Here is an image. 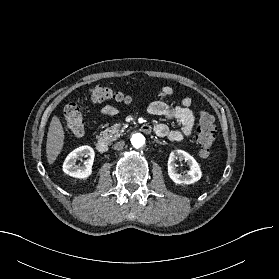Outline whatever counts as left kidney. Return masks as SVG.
Returning <instances> with one entry per match:
<instances>
[{
  "label": "left kidney",
  "instance_id": "obj_1",
  "mask_svg": "<svg viewBox=\"0 0 279 279\" xmlns=\"http://www.w3.org/2000/svg\"><path fill=\"white\" fill-rule=\"evenodd\" d=\"M185 161L189 166V171L186 174H179L175 168L176 160ZM168 175L170 179L176 184H193L200 180L202 172L197 161L186 151L175 150L172 151L168 159Z\"/></svg>",
  "mask_w": 279,
  "mask_h": 279
}]
</instances>
